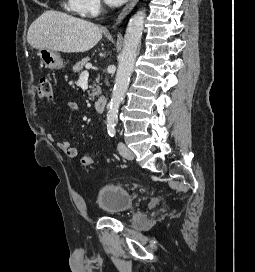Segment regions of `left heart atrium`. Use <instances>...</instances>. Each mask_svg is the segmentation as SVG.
I'll return each mask as SVG.
<instances>
[{"label": "left heart atrium", "mask_w": 255, "mask_h": 272, "mask_svg": "<svg viewBox=\"0 0 255 272\" xmlns=\"http://www.w3.org/2000/svg\"><path fill=\"white\" fill-rule=\"evenodd\" d=\"M126 0H105V2L110 6H118Z\"/></svg>", "instance_id": "39dd6f15"}]
</instances>
